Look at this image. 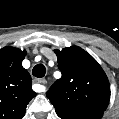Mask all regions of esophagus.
<instances>
[{
    "instance_id": "obj_1",
    "label": "esophagus",
    "mask_w": 119,
    "mask_h": 119,
    "mask_svg": "<svg viewBox=\"0 0 119 119\" xmlns=\"http://www.w3.org/2000/svg\"><path fill=\"white\" fill-rule=\"evenodd\" d=\"M34 83H40V84H45L46 80L45 79H39V78H35L33 79Z\"/></svg>"
}]
</instances>
